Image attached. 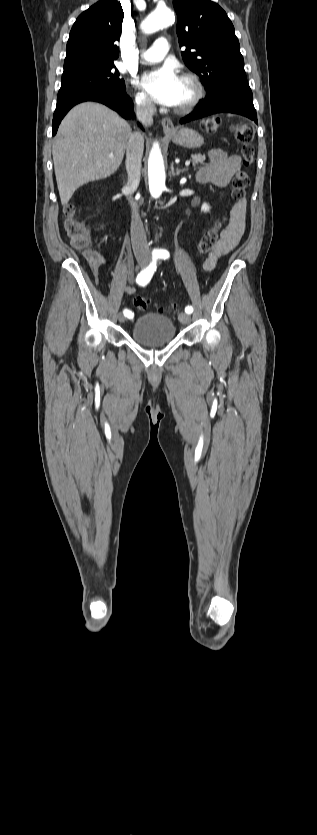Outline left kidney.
Wrapping results in <instances>:
<instances>
[{"mask_svg":"<svg viewBox=\"0 0 317 835\" xmlns=\"http://www.w3.org/2000/svg\"><path fill=\"white\" fill-rule=\"evenodd\" d=\"M209 210H210V206H209L207 203H203V204H202V207H201V211H203L204 213H206V212H208Z\"/></svg>","mask_w":317,"mask_h":835,"instance_id":"obj_1","label":"left kidney"}]
</instances>
